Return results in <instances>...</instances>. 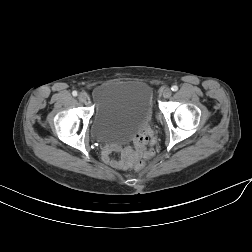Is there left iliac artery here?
<instances>
[{"label": "left iliac artery", "mask_w": 252, "mask_h": 252, "mask_svg": "<svg viewBox=\"0 0 252 252\" xmlns=\"http://www.w3.org/2000/svg\"><path fill=\"white\" fill-rule=\"evenodd\" d=\"M171 90L174 91V92L177 91V90H178V86L173 85V86L171 87Z\"/></svg>", "instance_id": "1"}]
</instances>
